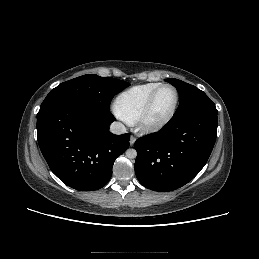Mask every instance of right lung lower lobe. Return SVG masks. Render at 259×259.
<instances>
[{
  "instance_id": "right-lung-lower-lobe-1",
  "label": "right lung lower lobe",
  "mask_w": 259,
  "mask_h": 259,
  "mask_svg": "<svg viewBox=\"0 0 259 259\" xmlns=\"http://www.w3.org/2000/svg\"><path fill=\"white\" fill-rule=\"evenodd\" d=\"M109 109L79 100L54 103L37 114V138L51 171L80 191L105 186L115 159L129 147V134L115 135Z\"/></svg>"
}]
</instances>
